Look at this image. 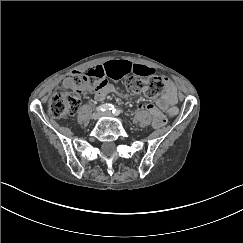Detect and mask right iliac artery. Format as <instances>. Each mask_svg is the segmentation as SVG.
I'll list each match as a JSON object with an SVG mask.
<instances>
[{
    "instance_id": "right-iliac-artery-1",
    "label": "right iliac artery",
    "mask_w": 243,
    "mask_h": 243,
    "mask_svg": "<svg viewBox=\"0 0 243 243\" xmlns=\"http://www.w3.org/2000/svg\"><path fill=\"white\" fill-rule=\"evenodd\" d=\"M114 109H115V107H114L113 104L106 103V104H103V105L98 106L96 108V111L99 112V111L114 110Z\"/></svg>"
}]
</instances>
